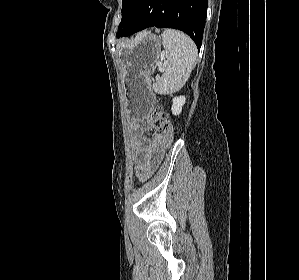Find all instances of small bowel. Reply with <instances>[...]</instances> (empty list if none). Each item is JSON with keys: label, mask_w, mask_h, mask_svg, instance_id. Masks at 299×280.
Wrapping results in <instances>:
<instances>
[{"label": "small bowel", "mask_w": 299, "mask_h": 280, "mask_svg": "<svg viewBox=\"0 0 299 280\" xmlns=\"http://www.w3.org/2000/svg\"><path fill=\"white\" fill-rule=\"evenodd\" d=\"M132 144L135 150V174L138 178L148 176L159 164L168 144L166 135L157 127L150 137L144 133L152 129L149 122L133 121Z\"/></svg>", "instance_id": "obj_1"}]
</instances>
